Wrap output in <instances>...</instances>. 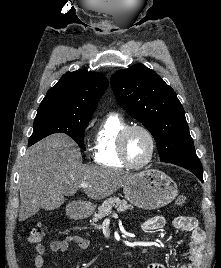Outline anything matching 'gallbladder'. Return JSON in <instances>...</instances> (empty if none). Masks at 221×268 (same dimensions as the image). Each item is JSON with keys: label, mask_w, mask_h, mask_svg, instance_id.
Returning <instances> with one entry per match:
<instances>
[{"label": "gallbladder", "mask_w": 221, "mask_h": 268, "mask_svg": "<svg viewBox=\"0 0 221 268\" xmlns=\"http://www.w3.org/2000/svg\"><path fill=\"white\" fill-rule=\"evenodd\" d=\"M61 204H63V199H46L42 205L39 206L40 210H56Z\"/></svg>", "instance_id": "bac80fb5"}]
</instances>
